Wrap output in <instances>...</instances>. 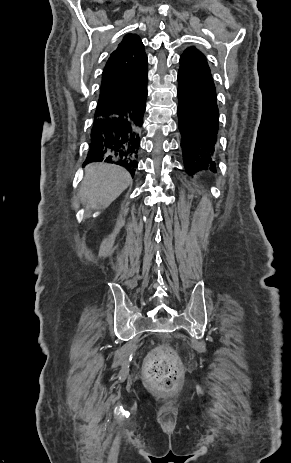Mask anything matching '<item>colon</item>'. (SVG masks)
<instances>
[{"label":"colon","instance_id":"1","mask_svg":"<svg viewBox=\"0 0 291 463\" xmlns=\"http://www.w3.org/2000/svg\"><path fill=\"white\" fill-rule=\"evenodd\" d=\"M146 373L157 389L168 391L174 388L179 369L171 354L155 351L147 359Z\"/></svg>","mask_w":291,"mask_h":463}]
</instances>
